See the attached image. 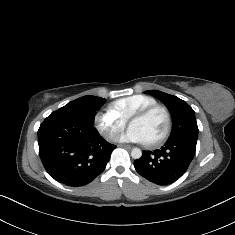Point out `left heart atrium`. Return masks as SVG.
Wrapping results in <instances>:
<instances>
[{"mask_svg":"<svg viewBox=\"0 0 235 235\" xmlns=\"http://www.w3.org/2000/svg\"><path fill=\"white\" fill-rule=\"evenodd\" d=\"M113 139L116 142H132V143H140V144H145L146 139L142 132L135 128V127H130L127 131L125 132H120L114 135Z\"/></svg>","mask_w":235,"mask_h":235,"instance_id":"obj_1","label":"left heart atrium"}]
</instances>
